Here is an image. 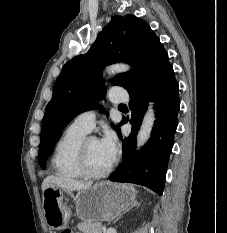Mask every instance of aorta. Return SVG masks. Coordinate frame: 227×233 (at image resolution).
Listing matches in <instances>:
<instances>
[{"label": "aorta", "mask_w": 227, "mask_h": 233, "mask_svg": "<svg viewBox=\"0 0 227 233\" xmlns=\"http://www.w3.org/2000/svg\"><path fill=\"white\" fill-rule=\"evenodd\" d=\"M129 70L126 64H114L106 68V72L110 75L125 72ZM153 103H150L147 112L144 115L142 125L137 135V149H140L151 136L152 128L155 121V114L153 110Z\"/></svg>", "instance_id": "obj_1"}]
</instances>
